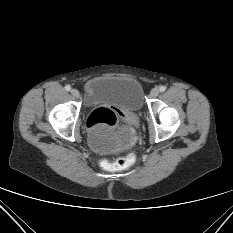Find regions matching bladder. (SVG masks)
Masks as SVG:
<instances>
[{"label":"bladder","instance_id":"31cf9c89","mask_svg":"<svg viewBox=\"0 0 233 233\" xmlns=\"http://www.w3.org/2000/svg\"><path fill=\"white\" fill-rule=\"evenodd\" d=\"M85 98L90 105L111 104L130 112L143 105L142 88L137 80L129 76H100L88 79L84 84ZM135 139L131 128L118 133L88 135L90 148L102 155H111L128 149Z\"/></svg>","mask_w":233,"mask_h":233}]
</instances>
